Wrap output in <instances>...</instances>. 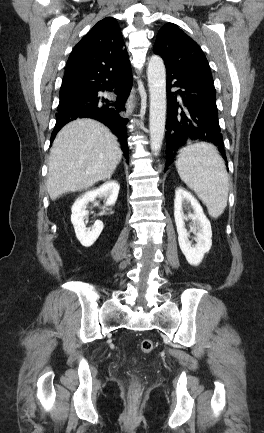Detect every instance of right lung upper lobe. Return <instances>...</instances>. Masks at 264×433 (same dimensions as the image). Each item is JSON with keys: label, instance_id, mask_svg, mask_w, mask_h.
Instances as JSON below:
<instances>
[{"label": "right lung upper lobe", "instance_id": "obj_1", "mask_svg": "<svg viewBox=\"0 0 264 433\" xmlns=\"http://www.w3.org/2000/svg\"><path fill=\"white\" fill-rule=\"evenodd\" d=\"M122 33L115 18L99 21L74 47L65 74L98 67L119 68L129 64Z\"/></svg>", "mask_w": 264, "mask_h": 433}]
</instances>
